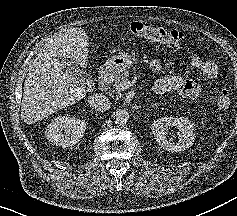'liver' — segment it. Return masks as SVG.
Segmentation results:
<instances>
[{"instance_id":"1","label":"liver","mask_w":237,"mask_h":216,"mask_svg":"<svg viewBox=\"0 0 237 216\" xmlns=\"http://www.w3.org/2000/svg\"><path fill=\"white\" fill-rule=\"evenodd\" d=\"M89 37L81 27H71L45 42L39 62L27 74L22 117L34 124L75 105L93 89L82 82L88 67Z\"/></svg>"}]
</instances>
